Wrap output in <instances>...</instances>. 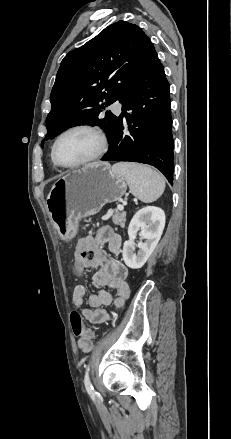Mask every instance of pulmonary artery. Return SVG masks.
Returning <instances> with one entry per match:
<instances>
[{
    "label": "pulmonary artery",
    "instance_id": "1",
    "mask_svg": "<svg viewBox=\"0 0 231 439\" xmlns=\"http://www.w3.org/2000/svg\"><path fill=\"white\" fill-rule=\"evenodd\" d=\"M112 110L116 115H119L122 111L121 104L118 101L114 102L112 105Z\"/></svg>",
    "mask_w": 231,
    "mask_h": 439
}]
</instances>
